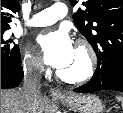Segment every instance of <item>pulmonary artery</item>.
<instances>
[{
	"label": "pulmonary artery",
	"instance_id": "pulmonary-artery-1",
	"mask_svg": "<svg viewBox=\"0 0 123 113\" xmlns=\"http://www.w3.org/2000/svg\"><path fill=\"white\" fill-rule=\"evenodd\" d=\"M67 11L64 3H54L51 7L34 14L28 24L33 27L51 25L65 17Z\"/></svg>",
	"mask_w": 123,
	"mask_h": 113
}]
</instances>
